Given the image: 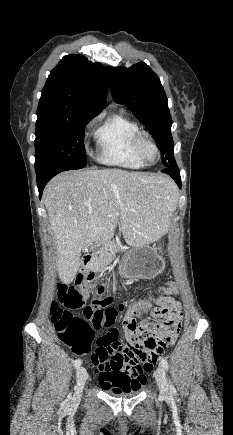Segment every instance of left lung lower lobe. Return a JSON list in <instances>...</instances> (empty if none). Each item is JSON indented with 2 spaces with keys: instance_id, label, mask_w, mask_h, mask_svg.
I'll use <instances>...</instances> for the list:
<instances>
[{
  "instance_id": "0a47b994",
  "label": "left lung lower lobe",
  "mask_w": 233,
  "mask_h": 435,
  "mask_svg": "<svg viewBox=\"0 0 233 435\" xmlns=\"http://www.w3.org/2000/svg\"><path fill=\"white\" fill-rule=\"evenodd\" d=\"M163 172L170 175L175 180V182L178 184V186L181 187L180 172H179L177 165L173 166V167H169L167 169H164Z\"/></svg>"
}]
</instances>
